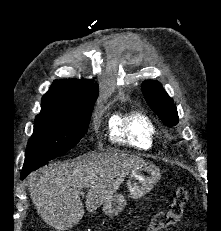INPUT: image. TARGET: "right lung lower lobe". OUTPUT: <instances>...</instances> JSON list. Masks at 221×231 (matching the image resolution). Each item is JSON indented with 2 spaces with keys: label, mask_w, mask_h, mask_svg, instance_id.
Here are the masks:
<instances>
[{
  "label": "right lung lower lobe",
  "mask_w": 221,
  "mask_h": 231,
  "mask_svg": "<svg viewBox=\"0 0 221 231\" xmlns=\"http://www.w3.org/2000/svg\"><path fill=\"white\" fill-rule=\"evenodd\" d=\"M49 162V161H48ZM48 162H44V163H41L37 166H34L32 168H28V169H22V172H21V180H23L29 173H31L32 171L38 169L39 167H42L43 165L47 164Z\"/></svg>",
  "instance_id": "obj_1"
}]
</instances>
